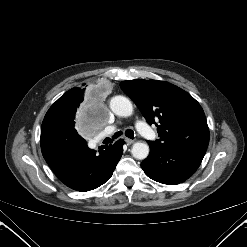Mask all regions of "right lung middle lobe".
I'll use <instances>...</instances> for the list:
<instances>
[{
	"label": "right lung middle lobe",
	"instance_id": "right-lung-middle-lobe-1",
	"mask_svg": "<svg viewBox=\"0 0 247 247\" xmlns=\"http://www.w3.org/2000/svg\"><path fill=\"white\" fill-rule=\"evenodd\" d=\"M77 108V99L66 97L59 98L48 110L45 118L57 119L69 123L75 124V112Z\"/></svg>",
	"mask_w": 247,
	"mask_h": 247
}]
</instances>
